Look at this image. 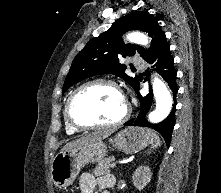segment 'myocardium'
I'll return each mask as SVG.
<instances>
[{
    "label": "myocardium",
    "mask_w": 221,
    "mask_h": 193,
    "mask_svg": "<svg viewBox=\"0 0 221 193\" xmlns=\"http://www.w3.org/2000/svg\"><path fill=\"white\" fill-rule=\"evenodd\" d=\"M94 85L109 86V87L115 89L116 91H118L122 95V97L125 100V110L119 119L112 121V122H108V123H94V124H89V125L81 124L74 119V117L72 115V104H73L74 99L83 89L90 87V86H94ZM130 110H131L130 106H129L120 86L115 81L109 80V79L97 78V79H93V80H89V81L84 82L83 84L78 86L73 91V93L69 96V98L66 102L65 115H66V119H67L68 123L73 128L78 129V130H93V129L115 128V127L122 125L128 119V117L130 115Z\"/></svg>",
    "instance_id": "myocardium-1"
}]
</instances>
